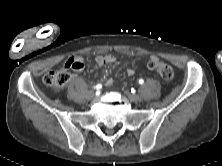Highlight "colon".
Listing matches in <instances>:
<instances>
[{
  "instance_id": "colon-1",
  "label": "colon",
  "mask_w": 222,
  "mask_h": 166,
  "mask_svg": "<svg viewBox=\"0 0 222 166\" xmlns=\"http://www.w3.org/2000/svg\"><path fill=\"white\" fill-rule=\"evenodd\" d=\"M148 68L156 72L162 79L170 81L174 76V70L168 63L152 58L148 62ZM70 80V73L67 70L61 69L49 71L43 77V82L54 89H61Z\"/></svg>"
}]
</instances>
